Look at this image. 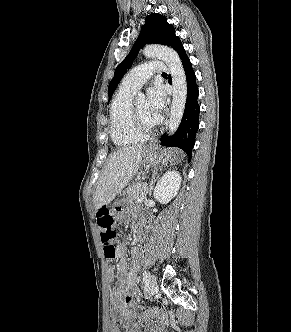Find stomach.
<instances>
[{"label":"stomach","instance_id":"stomach-1","mask_svg":"<svg viewBox=\"0 0 291 332\" xmlns=\"http://www.w3.org/2000/svg\"><path fill=\"white\" fill-rule=\"evenodd\" d=\"M171 152H168L165 157L159 156L158 147L155 144H151L148 148L145 149L143 154L144 162L149 164L150 166H156L159 162H167L171 159ZM176 157H174L175 159ZM120 195H122L120 193ZM129 204V201L125 199H121L115 202L114 211L116 215H119L122 210Z\"/></svg>","mask_w":291,"mask_h":332}]
</instances>
